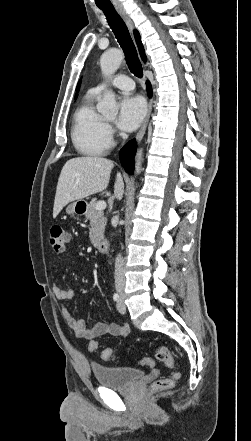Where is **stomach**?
Listing matches in <instances>:
<instances>
[{
	"instance_id": "stomach-1",
	"label": "stomach",
	"mask_w": 251,
	"mask_h": 441,
	"mask_svg": "<svg viewBox=\"0 0 251 441\" xmlns=\"http://www.w3.org/2000/svg\"><path fill=\"white\" fill-rule=\"evenodd\" d=\"M87 203L84 200H77L71 204H69L66 208V213L68 215H81L85 212Z\"/></svg>"
}]
</instances>
